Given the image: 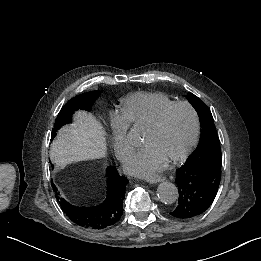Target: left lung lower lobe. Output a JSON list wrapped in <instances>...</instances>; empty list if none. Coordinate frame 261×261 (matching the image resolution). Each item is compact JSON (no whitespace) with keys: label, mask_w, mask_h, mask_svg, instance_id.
<instances>
[{"label":"left lung lower lobe","mask_w":261,"mask_h":261,"mask_svg":"<svg viewBox=\"0 0 261 261\" xmlns=\"http://www.w3.org/2000/svg\"><path fill=\"white\" fill-rule=\"evenodd\" d=\"M220 178L221 165L214 162L185 163L176 171L178 205L170 211V215L186 219L204 213L217 194Z\"/></svg>","instance_id":"1"}]
</instances>
